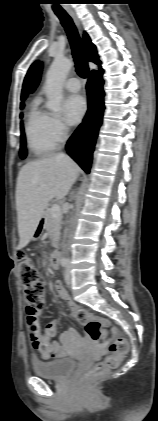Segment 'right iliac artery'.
I'll return each mask as SVG.
<instances>
[{
  "label": "right iliac artery",
  "instance_id": "obj_1",
  "mask_svg": "<svg viewBox=\"0 0 158 421\" xmlns=\"http://www.w3.org/2000/svg\"><path fill=\"white\" fill-rule=\"evenodd\" d=\"M61 265H62L63 267H66V266H67V260H66V259H63V260L61 261Z\"/></svg>",
  "mask_w": 158,
  "mask_h": 421
}]
</instances>
